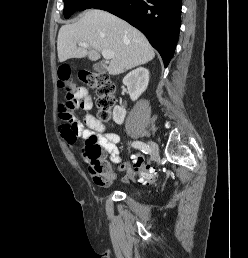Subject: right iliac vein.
Masks as SVG:
<instances>
[{"label": "right iliac vein", "mask_w": 248, "mask_h": 258, "mask_svg": "<svg viewBox=\"0 0 248 258\" xmlns=\"http://www.w3.org/2000/svg\"><path fill=\"white\" fill-rule=\"evenodd\" d=\"M148 144L150 146V151H151L150 162H152V161H155L158 158L159 148H158V145L153 141H148Z\"/></svg>", "instance_id": "63e3f726"}]
</instances>
